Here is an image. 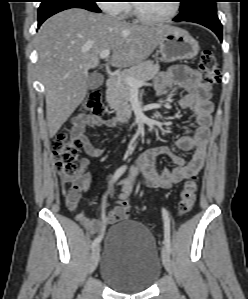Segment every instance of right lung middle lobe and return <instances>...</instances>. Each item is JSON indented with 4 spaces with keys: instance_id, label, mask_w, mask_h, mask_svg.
I'll use <instances>...</instances> for the list:
<instances>
[{
    "instance_id": "right-lung-middle-lobe-1",
    "label": "right lung middle lobe",
    "mask_w": 248,
    "mask_h": 299,
    "mask_svg": "<svg viewBox=\"0 0 248 299\" xmlns=\"http://www.w3.org/2000/svg\"><path fill=\"white\" fill-rule=\"evenodd\" d=\"M96 0H41L38 9V19L62 8H83L93 12H100Z\"/></svg>"
}]
</instances>
